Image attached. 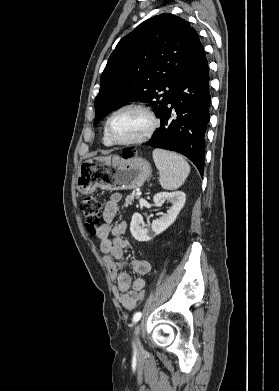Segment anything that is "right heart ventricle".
I'll return each mask as SVG.
<instances>
[{
    "mask_svg": "<svg viewBox=\"0 0 279 391\" xmlns=\"http://www.w3.org/2000/svg\"><path fill=\"white\" fill-rule=\"evenodd\" d=\"M103 144L107 147L112 146V144L108 141V139L105 135V129H104V135H103Z\"/></svg>",
    "mask_w": 279,
    "mask_h": 391,
    "instance_id": "1",
    "label": "right heart ventricle"
}]
</instances>
